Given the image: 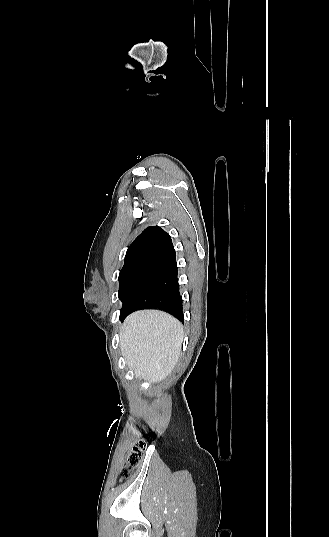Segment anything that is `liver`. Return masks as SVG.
<instances>
[{"instance_id":"1","label":"liver","mask_w":329,"mask_h":537,"mask_svg":"<svg viewBox=\"0 0 329 537\" xmlns=\"http://www.w3.org/2000/svg\"><path fill=\"white\" fill-rule=\"evenodd\" d=\"M183 341L182 324L157 310L129 315L120 330V349L135 376L153 383L164 380L176 365Z\"/></svg>"}]
</instances>
